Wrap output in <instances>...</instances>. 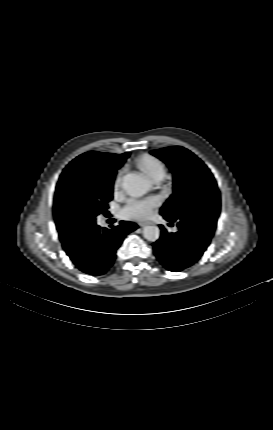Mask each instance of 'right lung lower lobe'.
<instances>
[{
	"instance_id": "1",
	"label": "right lung lower lobe",
	"mask_w": 273,
	"mask_h": 430,
	"mask_svg": "<svg viewBox=\"0 0 273 430\" xmlns=\"http://www.w3.org/2000/svg\"><path fill=\"white\" fill-rule=\"evenodd\" d=\"M137 227L127 221H121L119 226L112 229L100 228L93 223L73 240L64 243L63 248L82 272L93 276L103 275L114 264L116 251L123 239Z\"/></svg>"
}]
</instances>
